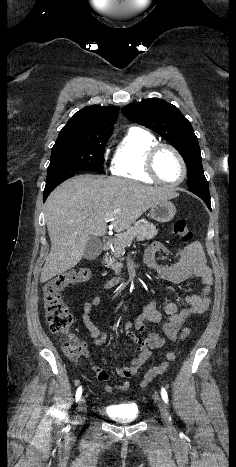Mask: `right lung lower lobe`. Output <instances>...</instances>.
Listing matches in <instances>:
<instances>
[{
	"instance_id": "98d812e1",
	"label": "right lung lower lobe",
	"mask_w": 236,
	"mask_h": 467,
	"mask_svg": "<svg viewBox=\"0 0 236 467\" xmlns=\"http://www.w3.org/2000/svg\"><path fill=\"white\" fill-rule=\"evenodd\" d=\"M79 171H76V172H70V173H66V174H62L56 178H53V179H50V180H46V186H45V189H44V194H43V201L45 202L46 198L48 197V195L59 185L61 184L63 181L71 178L72 176H74L75 173H77Z\"/></svg>"
}]
</instances>
